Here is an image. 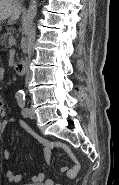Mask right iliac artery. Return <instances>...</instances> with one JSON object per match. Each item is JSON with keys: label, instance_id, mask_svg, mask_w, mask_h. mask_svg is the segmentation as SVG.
Instances as JSON below:
<instances>
[{"label": "right iliac artery", "instance_id": "1", "mask_svg": "<svg viewBox=\"0 0 119 185\" xmlns=\"http://www.w3.org/2000/svg\"><path fill=\"white\" fill-rule=\"evenodd\" d=\"M24 93L23 92H19L16 94V99H21V98H24Z\"/></svg>", "mask_w": 119, "mask_h": 185}]
</instances>
